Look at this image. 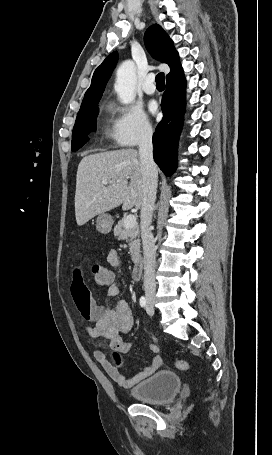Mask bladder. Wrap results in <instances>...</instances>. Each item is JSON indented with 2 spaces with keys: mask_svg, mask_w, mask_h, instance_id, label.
<instances>
[{
  "mask_svg": "<svg viewBox=\"0 0 272 455\" xmlns=\"http://www.w3.org/2000/svg\"><path fill=\"white\" fill-rule=\"evenodd\" d=\"M181 385L178 374L170 370H161L140 381L130 393L138 401L162 404L174 399Z\"/></svg>",
  "mask_w": 272,
  "mask_h": 455,
  "instance_id": "31cf9c89",
  "label": "bladder"
}]
</instances>
